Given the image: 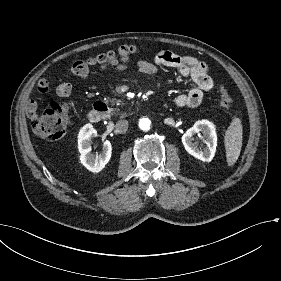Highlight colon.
Returning a JSON list of instances; mask_svg holds the SVG:
<instances>
[{
    "mask_svg": "<svg viewBox=\"0 0 281 281\" xmlns=\"http://www.w3.org/2000/svg\"><path fill=\"white\" fill-rule=\"evenodd\" d=\"M139 53L136 46H123L116 52H109L103 55L91 58L89 64L98 69H107L116 65L129 62ZM83 62H76V71H82ZM220 96V104L224 108L234 106L232 97L225 91L222 86L217 87ZM69 123L67 107L63 103L52 102L33 120V129L37 137L44 141H57L62 138L65 128Z\"/></svg>",
    "mask_w": 281,
    "mask_h": 281,
    "instance_id": "5ec220e1",
    "label": "colon"
}]
</instances>
